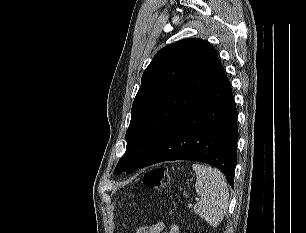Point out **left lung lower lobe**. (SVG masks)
Wrapping results in <instances>:
<instances>
[{
	"mask_svg": "<svg viewBox=\"0 0 306 233\" xmlns=\"http://www.w3.org/2000/svg\"><path fill=\"white\" fill-rule=\"evenodd\" d=\"M237 140V110L222 71L140 167L172 160L200 161L219 168L233 187Z\"/></svg>",
	"mask_w": 306,
	"mask_h": 233,
	"instance_id": "obj_1",
	"label": "left lung lower lobe"
}]
</instances>
